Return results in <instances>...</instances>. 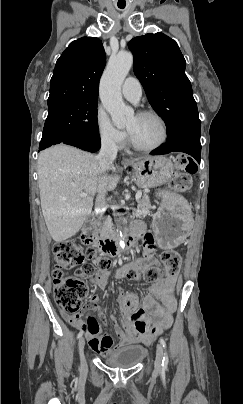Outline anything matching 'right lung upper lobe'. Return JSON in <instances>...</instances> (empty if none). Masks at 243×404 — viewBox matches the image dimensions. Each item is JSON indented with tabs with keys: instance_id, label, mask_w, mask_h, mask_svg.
<instances>
[{
	"instance_id": "right-lung-upper-lobe-1",
	"label": "right lung upper lobe",
	"mask_w": 243,
	"mask_h": 404,
	"mask_svg": "<svg viewBox=\"0 0 243 404\" xmlns=\"http://www.w3.org/2000/svg\"><path fill=\"white\" fill-rule=\"evenodd\" d=\"M105 64V51L98 38L73 41L55 65L48 106L63 101L98 100L99 79Z\"/></svg>"
}]
</instances>
